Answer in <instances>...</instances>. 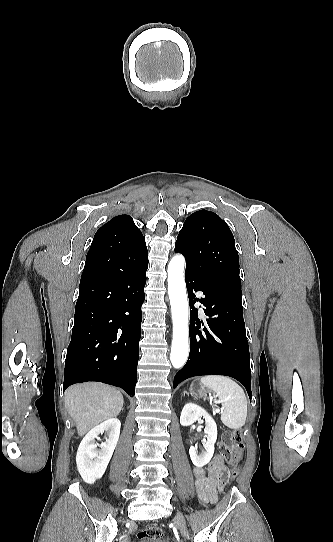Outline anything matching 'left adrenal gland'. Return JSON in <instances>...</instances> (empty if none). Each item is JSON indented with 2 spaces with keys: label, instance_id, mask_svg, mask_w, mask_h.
<instances>
[{
  "label": "left adrenal gland",
  "instance_id": "1",
  "mask_svg": "<svg viewBox=\"0 0 333 542\" xmlns=\"http://www.w3.org/2000/svg\"><path fill=\"white\" fill-rule=\"evenodd\" d=\"M184 394H188V392H184Z\"/></svg>",
  "mask_w": 333,
  "mask_h": 542
}]
</instances>
